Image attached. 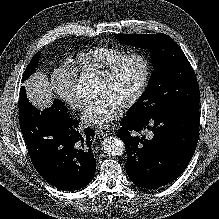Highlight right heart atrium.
<instances>
[{
    "label": "right heart atrium",
    "mask_w": 219,
    "mask_h": 219,
    "mask_svg": "<svg viewBox=\"0 0 219 219\" xmlns=\"http://www.w3.org/2000/svg\"><path fill=\"white\" fill-rule=\"evenodd\" d=\"M76 75L65 67L55 70L51 76V88L56 95L70 108L81 111L85 102L76 90Z\"/></svg>",
    "instance_id": "1"
}]
</instances>
